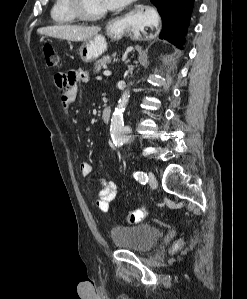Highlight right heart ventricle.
Here are the masks:
<instances>
[{"instance_id":"right-heart-ventricle-1","label":"right heart ventricle","mask_w":247,"mask_h":299,"mask_svg":"<svg viewBox=\"0 0 247 299\" xmlns=\"http://www.w3.org/2000/svg\"><path fill=\"white\" fill-rule=\"evenodd\" d=\"M50 16L54 23L61 25L73 24L78 20L70 8L69 0H53Z\"/></svg>"}]
</instances>
